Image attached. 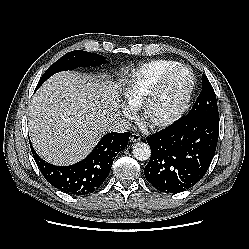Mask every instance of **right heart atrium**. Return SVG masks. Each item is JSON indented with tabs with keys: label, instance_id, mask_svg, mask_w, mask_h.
<instances>
[{
	"label": "right heart atrium",
	"instance_id": "d8ad5b80",
	"mask_svg": "<svg viewBox=\"0 0 249 249\" xmlns=\"http://www.w3.org/2000/svg\"><path fill=\"white\" fill-rule=\"evenodd\" d=\"M123 114L125 115L126 118L131 119L133 117V113L130 109L124 108L123 109Z\"/></svg>",
	"mask_w": 249,
	"mask_h": 249
}]
</instances>
